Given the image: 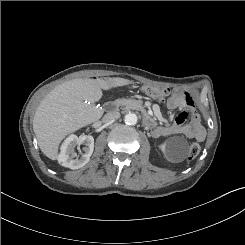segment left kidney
Wrapping results in <instances>:
<instances>
[{"mask_svg":"<svg viewBox=\"0 0 245 245\" xmlns=\"http://www.w3.org/2000/svg\"><path fill=\"white\" fill-rule=\"evenodd\" d=\"M160 150L164 153L165 157L167 160L169 161H175L177 158H179V153H178V150H175L173 153L171 154H168L167 153V144L166 143H162L160 146H159Z\"/></svg>","mask_w":245,"mask_h":245,"instance_id":"left-kidney-1","label":"left kidney"}]
</instances>
